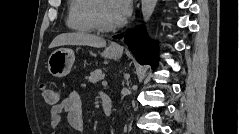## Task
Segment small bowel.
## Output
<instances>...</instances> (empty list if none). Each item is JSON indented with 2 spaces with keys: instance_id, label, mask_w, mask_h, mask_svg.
<instances>
[{
  "instance_id": "1",
  "label": "small bowel",
  "mask_w": 239,
  "mask_h": 134,
  "mask_svg": "<svg viewBox=\"0 0 239 134\" xmlns=\"http://www.w3.org/2000/svg\"><path fill=\"white\" fill-rule=\"evenodd\" d=\"M66 115L69 125L81 133L85 130V118L82 100L77 91L69 93L61 103L53 106L50 110V126L55 129L60 123L62 116Z\"/></svg>"
}]
</instances>
